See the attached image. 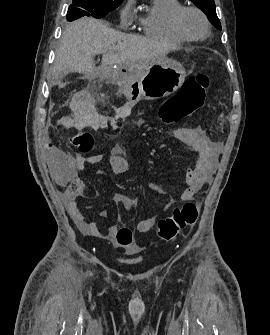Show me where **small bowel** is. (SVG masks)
<instances>
[{
  "instance_id": "1",
  "label": "small bowel",
  "mask_w": 270,
  "mask_h": 335,
  "mask_svg": "<svg viewBox=\"0 0 270 335\" xmlns=\"http://www.w3.org/2000/svg\"><path fill=\"white\" fill-rule=\"evenodd\" d=\"M192 138L191 146L199 153L193 168H189L185 175L186 189L181 195V201H189L201 190V188L210 183L215 172V161L218 151L220 150V142L213 141L208 138L204 131L200 128L189 132ZM45 164L51 165V173L53 178H69L71 184L64 192V198L68 213L77 227L87 236L96 237L101 235V230L95 222H88L84 213L81 211L78 199L84 195L86 185L77 176L76 171L83 170L87 165L98 164L102 161L101 154H93L90 156H77L72 162L71 158H65L66 149H59L58 144H46ZM109 163L113 173L124 174L129 170V163L123 156L120 147H114L109 156ZM149 189L161 194L162 189L156 182L149 183ZM114 204L122 210L129 212L132 208L130 198L123 193H114L112 196ZM173 204L170 200L166 208ZM108 212L106 210L100 211L101 217H106ZM118 221L122 224L123 216L118 213ZM156 218L154 216L148 217L139 222L137 230L141 233L148 232L154 225ZM116 231V226L111 225L108 229V235L112 236Z\"/></svg>"
}]
</instances>
